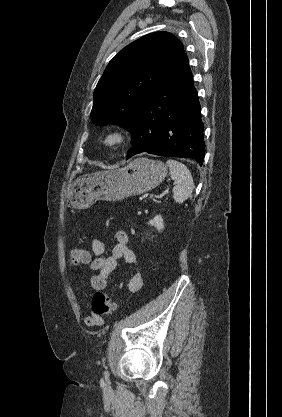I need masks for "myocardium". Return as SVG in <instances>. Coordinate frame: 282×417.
<instances>
[{"label":"myocardium","instance_id":"myocardium-1","mask_svg":"<svg viewBox=\"0 0 282 417\" xmlns=\"http://www.w3.org/2000/svg\"><path fill=\"white\" fill-rule=\"evenodd\" d=\"M124 140L123 134L119 131H112L106 136V142L110 145H118Z\"/></svg>","mask_w":282,"mask_h":417}]
</instances>
